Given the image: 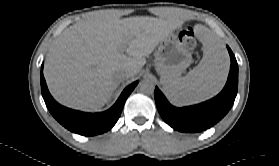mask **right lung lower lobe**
<instances>
[{
	"label": "right lung lower lobe",
	"mask_w": 279,
	"mask_h": 166,
	"mask_svg": "<svg viewBox=\"0 0 279 166\" xmlns=\"http://www.w3.org/2000/svg\"><path fill=\"white\" fill-rule=\"evenodd\" d=\"M40 80L42 96L52 116L68 130L84 136L97 135L110 130L119 119L127 97L138 84L136 81L127 86L109 110L92 114L61 106L50 95L42 71Z\"/></svg>",
	"instance_id": "98d812e1"
}]
</instances>
